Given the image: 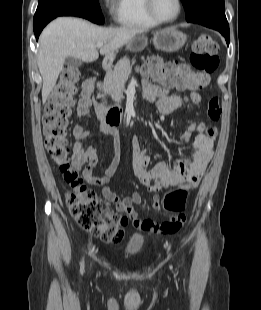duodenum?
<instances>
[{
    "mask_svg": "<svg viewBox=\"0 0 261 310\" xmlns=\"http://www.w3.org/2000/svg\"><path fill=\"white\" fill-rule=\"evenodd\" d=\"M111 65L110 60H105L103 63L104 69H108ZM100 88V85H97ZM100 107L104 113V122L108 126H117L121 122L122 110L118 106H109L105 96L99 94Z\"/></svg>",
    "mask_w": 261,
    "mask_h": 310,
    "instance_id": "1",
    "label": "duodenum"
}]
</instances>
